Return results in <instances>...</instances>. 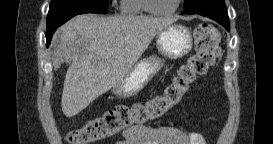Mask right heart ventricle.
Masks as SVG:
<instances>
[{
  "label": "right heart ventricle",
  "instance_id": "1",
  "mask_svg": "<svg viewBox=\"0 0 273 144\" xmlns=\"http://www.w3.org/2000/svg\"><path fill=\"white\" fill-rule=\"evenodd\" d=\"M144 0H122L121 13L126 16H135L143 12Z\"/></svg>",
  "mask_w": 273,
  "mask_h": 144
}]
</instances>
